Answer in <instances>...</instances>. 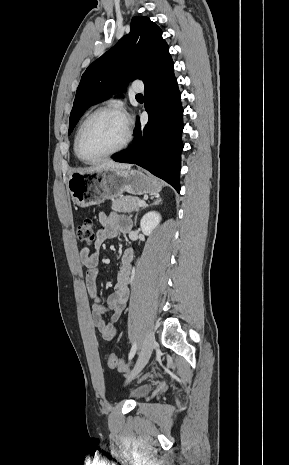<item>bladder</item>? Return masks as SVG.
<instances>
[{"instance_id": "31cf9c89", "label": "bladder", "mask_w": 289, "mask_h": 465, "mask_svg": "<svg viewBox=\"0 0 289 465\" xmlns=\"http://www.w3.org/2000/svg\"><path fill=\"white\" fill-rule=\"evenodd\" d=\"M149 391H150V386L145 384V385H141L133 389L130 395L131 397L135 399H139V398L146 396L149 393Z\"/></svg>"}]
</instances>
